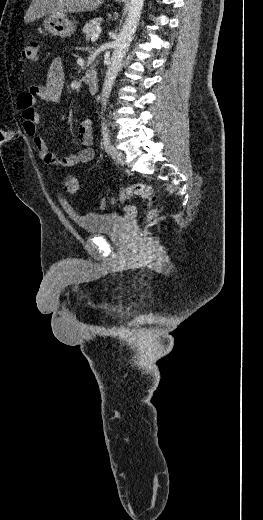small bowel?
Instances as JSON below:
<instances>
[{
	"label": "small bowel",
	"mask_w": 263,
	"mask_h": 520,
	"mask_svg": "<svg viewBox=\"0 0 263 520\" xmlns=\"http://www.w3.org/2000/svg\"><path fill=\"white\" fill-rule=\"evenodd\" d=\"M64 65L60 58H55L48 69L44 82L30 87L18 97V107L23 117V129L33 138V144L39 157L49 165L62 168L74 167L77 164L88 163L94 158L93 122L90 119L83 120L78 127V139L83 148L76 154L58 157L53 154L46 141L38 135V126L42 123L37 111V100L50 103H58L64 87Z\"/></svg>",
	"instance_id": "c3829d8e"
}]
</instances>
